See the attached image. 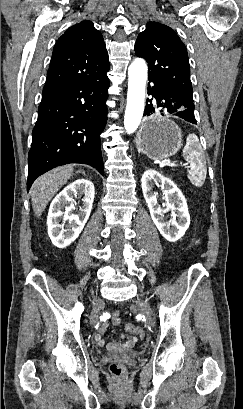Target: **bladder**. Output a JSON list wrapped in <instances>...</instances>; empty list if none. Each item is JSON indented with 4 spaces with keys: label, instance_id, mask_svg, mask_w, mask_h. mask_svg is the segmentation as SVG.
<instances>
[{
    "label": "bladder",
    "instance_id": "bladder-1",
    "mask_svg": "<svg viewBox=\"0 0 243 409\" xmlns=\"http://www.w3.org/2000/svg\"><path fill=\"white\" fill-rule=\"evenodd\" d=\"M138 354L139 351L136 349H127L116 352V355L121 358H131L137 356Z\"/></svg>",
    "mask_w": 243,
    "mask_h": 409
}]
</instances>
